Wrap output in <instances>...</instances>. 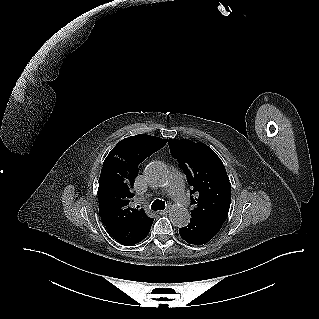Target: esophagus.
<instances>
[{"mask_svg": "<svg viewBox=\"0 0 319 319\" xmlns=\"http://www.w3.org/2000/svg\"><path fill=\"white\" fill-rule=\"evenodd\" d=\"M168 212H169L168 209H166V210H160V211H159V214H160V215H165V214H167Z\"/></svg>", "mask_w": 319, "mask_h": 319, "instance_id": "obj_1", "label": "esophagus"}]
</instances>
